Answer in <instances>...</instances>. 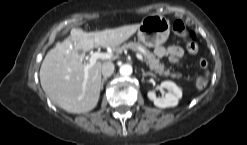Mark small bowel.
<instances>
[{
    "label": "small bowel",
    "mask_w": 247,
    "mask_h": 145,
    "mask_svg": "<svg viewBox=\"0 0 247 145\" xmlns=\"http://www.w3.org/2000/svg\"><path fill=\"white\" fill-rule=\"evenodd\" d=\"M187 52L190 55H195L198 52V47L195 43H189L183 49L180 46H158L155 53L159 57H167L171 62H177Z\"/></svg>",
    "instance_id": "1"
}]
</instances>
